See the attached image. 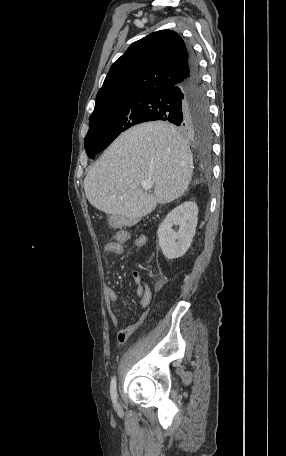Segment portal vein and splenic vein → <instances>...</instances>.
<instances>
[{
	"label": "portal vein and splenic vein",
	"mask_w": 286,
	"mask_h": 456,
	"mask_svg": "<svg viewBox=\"0 0 286 456\" xmlns=\"http://www.w3.org/2000/svg\"><path fill=\"white\" fill-rule=\"evenodd\" d=\"M141 185L144 190H150L153 187L154 182L151 180H145Z\"/></svg>",
	"instance_id": "18ae733b"
}]
</instances>
